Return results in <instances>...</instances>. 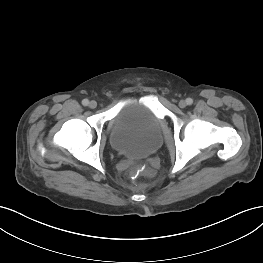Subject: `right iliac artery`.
I'll return each instance as SVG.
<instances>
[{"instance_id":"right-iliac-artery-1","label":"right iliac artery","mask_w":263,"mask_h":263,"mask_svg":"<svg viewBox=\"0 0 263 263\" xmlns=\"http://www.w3.org/2000/svg\"><path fill=\"white\" fill-rule=\"evenodd\" d=\"M82 104H83L84 106H87V105L89 104V100H88V99H84V100L82 101Z\"/></svg>"}]
</instances>
